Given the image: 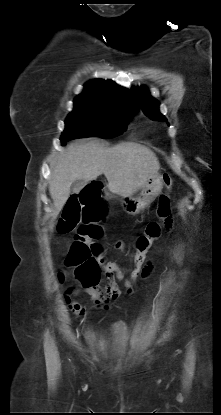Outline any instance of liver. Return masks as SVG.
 <instances>
[{
	"label": "liver",
	"mask_w": 221,
	"mask_h": 415,
	"mask_svg": "<svg viewBox=\"0 0 221 415\" xmlns=\"http://www.w3.org/2000/svg\"><path fill=\"white\" fill-rule=\"evenodd\" d=\"M160 169L156 155L147 147L122 142L110 148L97 141L72 143L54 166L49 182L57 216L70 196L76 180L90 181L104 174L109 190L119 196H132Z\"/></svg>",
	"instance_id": "6515ba94"
}]
</instances>
